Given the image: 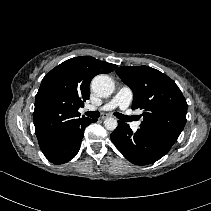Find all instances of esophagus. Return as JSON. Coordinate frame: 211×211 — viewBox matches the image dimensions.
I'll list each match as a JSON object with an SVG mask.
<instances>
[{"label": "esophagus", "instance_id": "esophagus-1", "mask_svg": "<svg viewBox=\"0 0 211 211\" xmlns=\"http://www.w3.org/2000/svg\"><path fill=\"white\" fill-rule=\"evenodd\" d=\"M107 117H109V115H108V114H104V115L101 117V119H105V118H107Z\"/></svg>", "mask_w": 211, "mask_h": 211}]
</instances>
